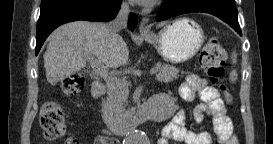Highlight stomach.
Instances as JSON below:
<instances>
[{"mask_svg":"<svg viewBox=\"0 0 273 144\" xmlns=\"http://www.w3.org/2000/svg\"><path fill=\"white\" fill-rule=\"evenodd\" d=\"M205 40L201 26L189 18H180L157 35L145 37L161 57L170 63H182L194 57Z\"/></svg>","mask_w":273,"mask_h":144,"instance_id":"0dacf381","label":"stomach"}]
</instances>
